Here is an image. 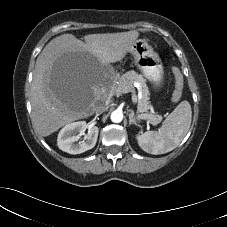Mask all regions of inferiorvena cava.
<instances>
[{
    "label": "inferior vena cava",
    "instance_id": "obj_1",
    "mask_svg": "<svg viewBox=\"0 0 227 227\" xmlns=\"http://www.w3.org/2000/svg\"><path fill=\"white\" fill-rule=\"evenodd\" d=\"M94 109H95L96 114H101L107 110V106H106V104H96Z\"/></svg>",
    "mask_w": 227,
    "mask_h": 227
}]
</instances>
